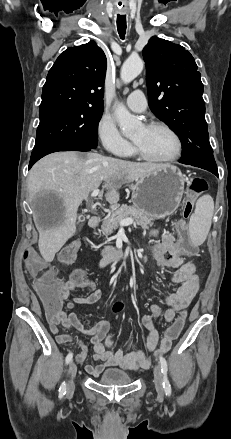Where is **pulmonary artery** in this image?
<instances>
[{
	"label": "pulmonary artery",
	"instance_id": "obj_1",
	"mask_svg": "<svg viewBox=\"0 0 231 439\" xmlns=\"http://www.w3.org/2000/svg\"><path fill=\"white\" fill-rule=\"evenodd\" d=\"M127 106L134 112L141 113L146 110L147 101L140 90L131 92L126 99Z\"/></svg>",
	"mask_w": 231,
	"mask_h": 439
}]
</instances>
